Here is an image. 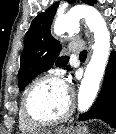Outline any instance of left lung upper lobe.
Here are the masks:
<instances>
[{"instance_id":"left-lung-upper-lobe-1","label":"left lung upper lobe","mask_w":116,"mask_h":134,"mask_svg":"<svg viewBox=\"0 0 116 134\" xmlns=\"http://www.w3.org/2000/svg\"><path fill=\"white\" fill-rule=\"evenodd\" d=\"M67 2L72 4L74 0H67ZM82 2L93 5L96 0H82ZM57 7L58 4L55 3L37 15L25 34L24 50L21 54L18 72L19 90H23L32 79L49 70L53 64L70 70L67 65L69 57H59L61 44L50 33Z\"/></svg>"}]
</instances>
